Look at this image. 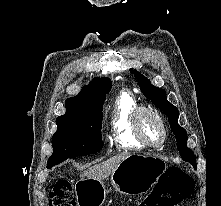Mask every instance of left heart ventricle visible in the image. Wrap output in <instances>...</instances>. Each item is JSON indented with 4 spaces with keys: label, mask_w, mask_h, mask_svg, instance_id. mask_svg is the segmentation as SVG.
<instances>
[{
    "label": "left heart ventricle",
    "mask_w": 221,
    "mask_h": 206,
    "mask_svg": "<svg viewBox=\"0 0 221 206\" xmlns=\"http://www.w3.org/2000/svg\"><path fill=\"white\" fill-rule=\"evenodd\" d=\"M142 129L150 143L158 144L162 139V129L158 121L151 115L142 117Z\"/></svg>",
    "instance_id": "left-heart-ventricle-1"
}]
</instances>
